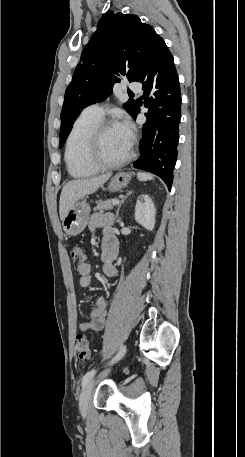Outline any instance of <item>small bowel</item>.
<instances>
[{"label": "small bowel", "mask_w": 245, "mask_h": 457, "mask_svg": "<svg viewBox=\"0 0 245 457\" xmlns=\"http://www.w3.org/2000/svg\"><path fill=\"white\" fill-rule=\"evenodd\" d=\"M114 217L109 213H94L91 215L88 227L92 231H100L102 234V261L103 272L108 277L118 275V268L114 265V260L118 254V242L113 232ZM79 285L88 287L92 282L91 266L85 262L78 268ZM90 319L78 323L81 332L99 333L105 326L107 316V301L104 296H100L89 310Z\"/></svg>", "instance_id": "1"}]
</instances>
